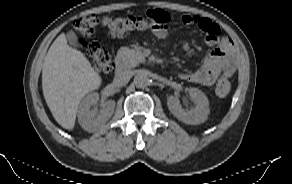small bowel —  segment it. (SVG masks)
I'll list each match as a JSON object with an SVG mask.
<instances>
[{
	"label": "small bowel",
	"instance_id": "small-bowel-1",
	"mask_svg": "<svg viewBox=\"0 0 292 184\" xmlns=\"http://www.w3.org/2000/svg\"><path fill=\"white\" fill-rule=\"evenodd\" d=\"M182 22L198 26L205 33L206 44L216 48L205 57L199 69L183 73L181 78L203 86H211L221 73L230 78L237 66V52L232 41L221 36L220 27L208 18L186 14L182 17ZM154 33L160 39L168 36L165 26Z\"/></svg>",
	"mask_w": 292,
	"mask_h": 184
}]
</instances>
